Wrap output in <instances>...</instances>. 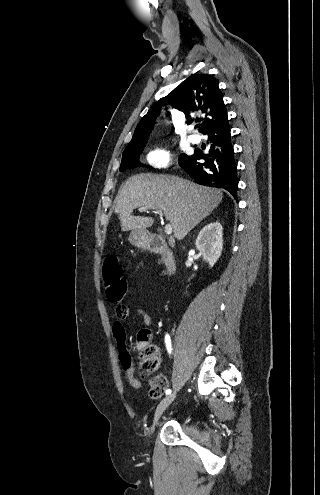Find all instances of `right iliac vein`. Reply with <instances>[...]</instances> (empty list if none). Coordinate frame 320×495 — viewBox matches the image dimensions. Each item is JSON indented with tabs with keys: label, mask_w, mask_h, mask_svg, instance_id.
<instances>
[{
	"label": "right iliac vein",
	"mask_w": 320,
	"mask_h": 495,
	"mask_svg": "<svg viewBox=\"0 0 320 495\" xmlns=\"http://www.w3.org/2000/svg\"><path fill=\"white\" fill-rule=\"evenodd\" d=\"M175 397H176V394L173 393V394L167 395L165 398H163L161 400V402L157 406V409H156L155 414H154V420H153V424L151 427V433L154 432L155 426H156L158 420L160 419V417L162 416L164 411L168 408V406L174 401Z\"/></svg>",
	"instance_id": "obj_1"
}]
</instances>
